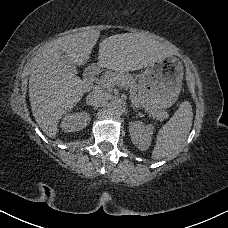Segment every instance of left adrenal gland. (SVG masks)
I'll return each mask as SVG.
<instances>
[{"mask_svg":"<svg viewBox=\"0 0 228 228\" xmlns=\"http://www.w3.org/2000/svg\"><path fill=\"white\" fill-rule=\"evenodd\" d=\"M133 110H136V106L132 105Z\"/></svg>","mask_w":228,"mask_h":228,"instance_id":"obj_1","label":"left adrenal gland"}]
</instances>
